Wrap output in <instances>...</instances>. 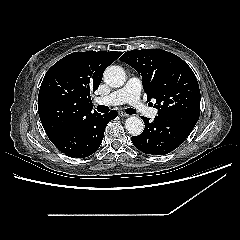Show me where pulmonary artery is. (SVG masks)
<instances>
[{"mask_svg":"<svg viewBox=\"0 0 240 240\" xmlns=\"http://www.w3.org/2000/svg\"><path fill=\"white\" fill-rule=\"evenodd\" d=\"M142 90L141 81L136 78H130L127 83L120 89L110 93L104 97L96 99L97 104L101 105H118L129 103L133 108L141 114L153 119L157 116V109L149 108L140 98Z\"/></svg>","mask_w":240,"mask_h":240,"instance_id":"e3ab8cb5","label":"pulmonary artery"}]
</instances>
